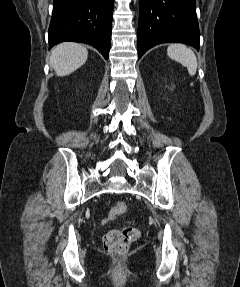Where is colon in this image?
Masks as SVG:
<instances>
[{"label":"colon","instance_id":"1","mask_svg":"<svg viewBox=\"0 0 240 287\" xmlns=\"http://www.w3.org/2000/svg\"><path fill=\"white\" fill-rule=\"evenodd\" d=\"M127 211L124 202H116L109 210V218L112 220L120 218ZM139 236V231L131 226L122 229H114L103 236V245L106 252L114 259H122L127 254L130 245Z\"/></svg>","mask_w":240,"mask_h":287}]
</instances>
